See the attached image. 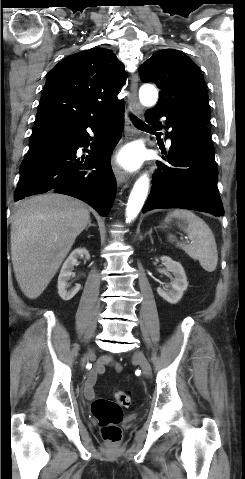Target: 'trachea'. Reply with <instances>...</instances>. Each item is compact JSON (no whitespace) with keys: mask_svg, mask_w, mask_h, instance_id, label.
I'll list each match as a JSON object with an SVG mask.
<instances>
[{"mask_svg":"<svg viewBox=\"0 0 245 479\" xmlns=\"http://www.w3.org/2000/svg\"><path fill=\"white\" fill-rule=\"evenodd\" d=\"M132 121L134 122V125L140 129H146V128H149L148 125H146L144 122H142L140 119H138L137 117L135 116H132Z\"/></svg>","mask_w":245,"mask_h":479,"instance_id":"trachea-1","label":"trachea"}]
</instances>
